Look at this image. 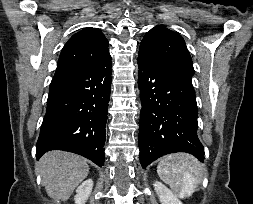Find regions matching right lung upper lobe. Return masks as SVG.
<instances>
[{
	"instance_id": "right-lung-upper-lobe-1",
	"label": "right lung upper lobe",
	"mask_w": 253,
	"mask_h": 204,
	"mask_svg": "<svg viewBox=\"0 0 253 204\" xmlns=\"http://www.w3.org/2000/svg\"><path fill=\"white\" fill-rule=\"evenodd\" d=\"M109 54L108 41L97 28H84L63 47L54 78L92 65Z\"/></svg>"
}]
</instances>
